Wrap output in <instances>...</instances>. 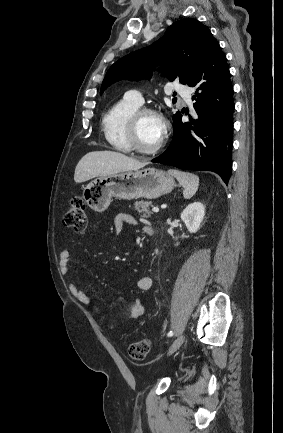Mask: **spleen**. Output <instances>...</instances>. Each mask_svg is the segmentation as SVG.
I'll list each match as a JSON object with an SVG mask.
<instances>
[{
    "label": "spleen",
    "instance_id": "3e777b00",
    "mask_svg": "<svg viewBox=\"0 0 283 433\" xmlns=\"http://www.w3.org/2000/svg\"><path fill=\"white\" fill-rule=\"evenodd\" d=\"M168 172L169 174H172V176H175V178L179 180L180 184H182L184 188V198H191V196H194L199 186V176H197V174H192V172H181V170H173V168H170Z\"/></svg>",
    "mask_w": 283,
    "mask_h": 433
}]
</instances>
